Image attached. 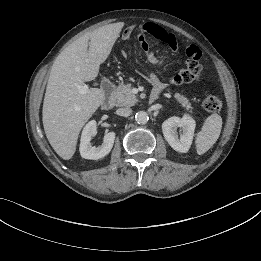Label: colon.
I'll return each instance as SVG.
<instances>
[{
	"label": "colon",
	"mask_w": 261,
	"mask_h": 261,
	"mask_svg": "<svg viewBox=\"0 0 261 261\" xmlns=\"http://www.w3.org/2000/svg\"><path fill=\"white\" fill-rule=\"evenodd\" d=\"M135 32V27L133 25H128L122 33L118 36V39L122 43H127L130 38V34ZM203 107L208 112H218L222 108V100L215 95L207 96L203 101Z\"/></svg>",
	"instance_id": "5ec220e1"
}]
</instances>
